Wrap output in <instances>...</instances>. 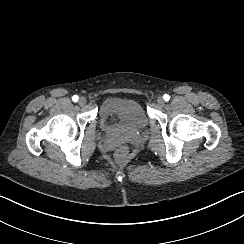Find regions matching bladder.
<instances>
[{"instance_id":"obj_1","label":"bladder","mask_w":244,"mask_h":244,"mask_svg":"<svg viewBox=\"0 0 244 244\" xmlns=\"http://www.w3.org/2000/svg\"><path fill=\"white\" fill-rule=\"evenodd\" d=\"M112 115H115L116 121L110 127L116 131L137 133L149 124L144 109L134 100L106 99L101 105L100 119L106 122Z\"/></svg>"}]
</instances>
